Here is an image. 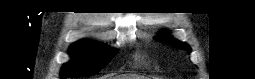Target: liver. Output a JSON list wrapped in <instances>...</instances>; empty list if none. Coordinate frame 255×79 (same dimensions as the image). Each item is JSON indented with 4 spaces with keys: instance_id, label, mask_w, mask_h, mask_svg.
Returning a JSON list of instances; mask_svg holds the SVG:
<instances>
[{
    "instance_id": "1",
    "label": "liver",
    "mask_w": 255,
    "mask_h": 79,
    "mask_svg": "<svg viewBox=\"0 0 255 79\" xmlns=\"http://www.w3.org/2000/svg\"><path fill=\"white\" fill-rule=\"evenodd\" d=\"M115 79H142L140 76L137 75H124V76H117Z\"/></svg>"
}]
</instances>
